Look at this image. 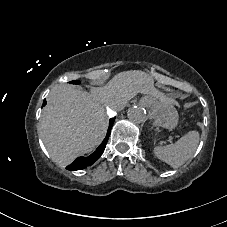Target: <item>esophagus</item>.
<instances>
[{
    "label": "esophagus",
    "mask_w": 227,
    "mask_h": 227,
    "mask_svg": "<svg viewBox=\"0 0 227 227\" xmlns=\"http://www.w3.org/2000/svg\"><path fill=\"white\" fill-rule=\"evenodd\" d=\"M137 103H138L139 106L145 107V106L148 105L149 100H148L147 97L141 96V97L138 98Z\"/></svg>",
    "instance_id": "1"
}]
</instances>
